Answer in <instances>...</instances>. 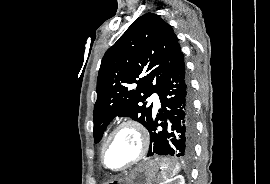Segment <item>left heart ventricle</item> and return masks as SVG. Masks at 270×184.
<instances>
[{
	"mask_svg": "<svg viewBox=\"0 0 270 184\" xmlns=\"http://www.w3.org/2000/svg\"><path fill=\"white\" fill-rule=\"evenodd\" d=\"M140 149V140L136 131L130 127L121 129L113 138L106 151V164L111 168H120L132 161Z\"/></svg>",
	"mask_w": 270,
	"mask_h": 184,
	"instance_id": "1",
	"label": "left heart ventricle"
}]
</instances>
